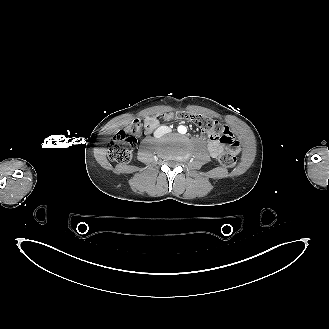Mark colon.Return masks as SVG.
Wrapping results in <instances>:
<instances>
[{
  "instance_id": "obj_1",
  "label": "colon",
  "mask_w": 329,
  "mask_h": 329,
  "mask_svg": "<svg viewBox=\"0 0 329 329\" xmlns=\"http://www.w3.org/2000/svg\"><path fill=\"white\" fill-rule=\"evenodd\" d=\"M174 118L193 122L203 132L215 135L226 147V151L219 157L221 164L229 168L236 165V151L239 145L233 135L226 131L225 126L203 114L178 112L176 114L166 113L161 115V119L164 121H170ZM142 132L143 125L139 120L132 121L125 129L119 131L110 142V159L120 163L128 162L131 159L132 150L137 139L142 135Z\"/></svg>"
}]
</instances>
